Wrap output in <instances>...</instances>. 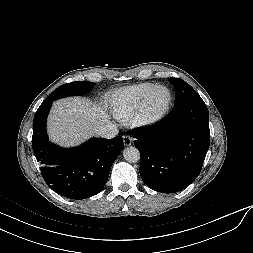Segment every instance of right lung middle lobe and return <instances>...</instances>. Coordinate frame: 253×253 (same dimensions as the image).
Here are the masks:
<instances>
[{"instance_id":"right-lung-middle-lobe-1","label":"right lung middle lobe","mask_w":253,"mask_h":253,"mask_svg":"<svg viewBox=\"0 0 253 253\" xmlns=\"http://www.w3.org/2000/svg\"><path fill=\"white\" fill-rule=\"evenodd\" d=\"M94 83L89 81H76L64 84L54 90L45 100H56L67 96H77L89 92Z\"/></svg>"}]
</instances>
